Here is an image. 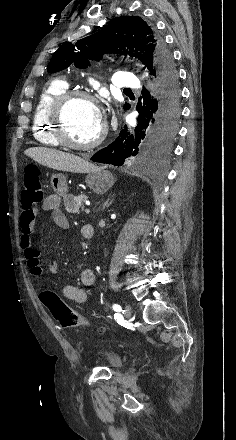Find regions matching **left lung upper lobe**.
<instances>
[{"label":"left lung upper lobe","instance_id":"obj_1","mask_svg":"<svg viewBox=\"0 0 236 440\" xmlns=\"http://www.w3.org/2000/svg\"><path fill=\"white\" fill-rule=\"evenodd\" d=\"M105 53L129 55L145 67L171 63L172 56L158 33L138 16L117 17L97 33L72 44L65 42L53 54L47 70L55 73L70 65L87 68L88 60H100ZM129 104L124 105L128 109Z\"/></svg>","mask_w":236,"mask_h":440}]
</instances>
